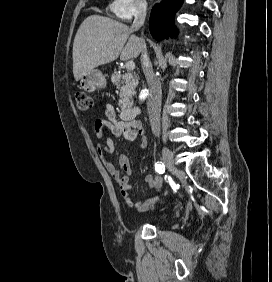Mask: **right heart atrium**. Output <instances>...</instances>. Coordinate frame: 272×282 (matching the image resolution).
Instances as JSON below:
<instances>
[{
  "label": "right heart atrium",
  "mask_w": 272,
  "mask_h": 282,
  "mask_svg": "<svg viewBox=\"0 0 272 282\" xmlns=\"http://www.w3.org/2000/svg\"><path fill=\"white\" fill-rule=\"evenodd\" d=\"M147 10L146 0H113L110 12L120 21L129 22Z\"/></svg>",
  "instance_id": "d8ad5b80"
}]
</instances>
